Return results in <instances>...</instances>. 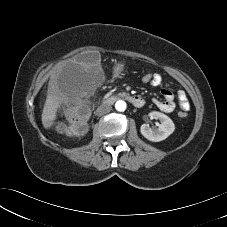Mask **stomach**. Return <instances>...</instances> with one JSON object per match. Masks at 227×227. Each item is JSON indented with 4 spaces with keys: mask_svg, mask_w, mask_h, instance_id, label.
I'll list each match as a JSON object with an SVG mask.
<instances>
[{
    "mask_svg": "<svg viewBox=\"0 0 227 227\" xmlns=\"http://www.w3.org/2000/svg\"><path fill=\"white\" fill-rule=\"evenodd\" d=\"M121 69H122V65H118V66L116 67V72L121 71Z\"/></svg>",
    "mask_w": 227,
    "mask_h": 227,
    "instance_id": "0dacf381",
    "label": "stomach"
}]
</instances>
